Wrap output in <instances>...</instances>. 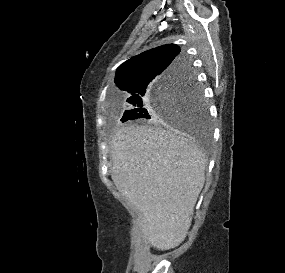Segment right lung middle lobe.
Wrapping results in <instances>:
<instances>
[{"label": "right lung middle lobe", "mask_w": 285, "mask_h": 273, "mask_svg": "<svg viewBox=\"0 0 285 273\" xmlns=\"http://www.w3.org/2000/svg\"><path fill=\"white\" fill-rule=\"evenodd\" d=\"M127 102L130 109L125 111L122 122L134 119L173 121L196 130H204L208 126L202 91L190 67L182 73L165 77L148 92Z\"/></svg>", "instance_id": "dd1d6c3e"}]
</instances>
